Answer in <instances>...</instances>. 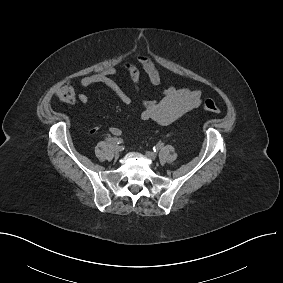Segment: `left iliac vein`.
<instances>
[{
    "label": "left iliac vein",
    "mask_w": 283,
    "mask_h": 283,
    "mask_svg": "<svg viewBox=\"0 0 283 283\" xmlns=\"http://www.w3.org/2000/svg\"><path fill=\"white\" fill-rule=\"evenodd\" d=\"M145 154L151 160H155L156 157H157V155L154 152H152V151H147Z\"/></svg>",
    "instance_id": "left-iliac-vein-1"
}]
</instances>
